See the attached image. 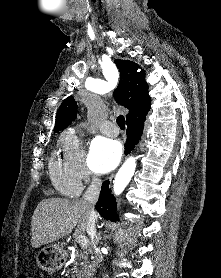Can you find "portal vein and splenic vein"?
Segmentation results:
<instances>
[{"label":"portal vein and splenic vein","instance_id":"obj_1","mask_svg":"<svg viewBox=\"0 0 221 278\" xmlns=\"http://www.w3.org/2000/svg\"><path fill=\"white\" fill-rule=\"evenodd\" d=\"M76 242L79 243L81 248H87L88 246V240L83 235H78L76 237Z\"/></svg>","mask_w":221,"mask_h":278}]
</instances>
